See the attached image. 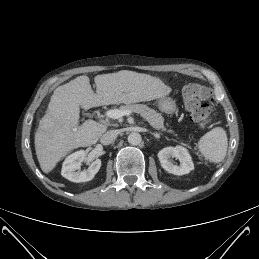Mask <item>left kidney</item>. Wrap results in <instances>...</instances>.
<instances>
[{
    "label": "left kidney",
    "instance_id": "5707ae66",
    "mask_svg": "<svg viewBox=\"0 0 259 259\" xmlns=\"http://www.w3.org/2000/svg\"><path fill=\"white\" fill-rule=\"evenodd\" d=\"M158 158L162 168L171 174L184 175L194 169L190 154L182 146L166 147L159 151ZM170 158L178 159L181 163L180 166L173 164Z\"/></svg>",
    "mask_w": 259,
    "mask_h": 259
}]
</instances>
